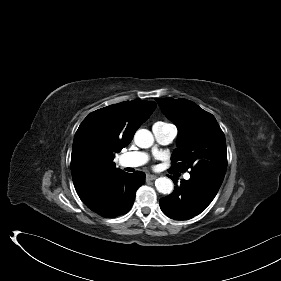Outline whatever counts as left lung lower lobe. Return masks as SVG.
<instances>
[{
    "label": "left lung lower lobe",
    "instance_id": "0a47b994",
    "mask_svg": "<svg viewBox=\"0 0 281 281\" xmlns=\"http://www.w3.org/2000/svg\"><path fill=\"white\" fill-rule=\"evenodd\" d=\"M224 178L190 174L174 192L160 200V208L170 218L184 220L200 214L214 199ZM174 183H177L173 178Z\"/></svg>",
    "mask_w": 281,
    "mask_h": 281
}]
</instances>
